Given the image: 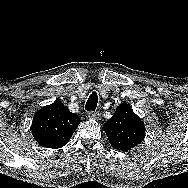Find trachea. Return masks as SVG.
Returning a JSON list of instances; mask_svg holds the SVG:
<instances>
[{"label": "trachea", "instance_id": "obj_1", "mask_svg": "<svg viewBox=\"0 0 188 188\" xmlns=\"http://www.w3.org/2000/svg\"><path fill=\"white\" fill-rule=\"evenodd\" d=\"M97 103H98V95L96 92H93L87 102H86V105H85V109L87 111H95L96 107H97Z\"/></svg>", "mask_w": 188, "mask_h": 188}]
</instances>
